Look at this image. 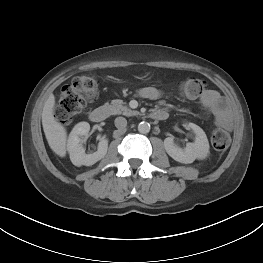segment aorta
Instances as JSON below:
<instances>
[{"instance_id":"762f6f07","label":"aorta","mask_w":263,"mask_h":263,"mask_svg":"<svg viewBox=\"0 0 263 263\" xmlns=\"http://www.w3.org/2000/svg\"><path fill=\"white\" fill-rule=\"evenodd\" d=\"M138 131L142 134H147L150 131V124L148 122H141L138 125Z\"/></svg>"}]
</instances>
